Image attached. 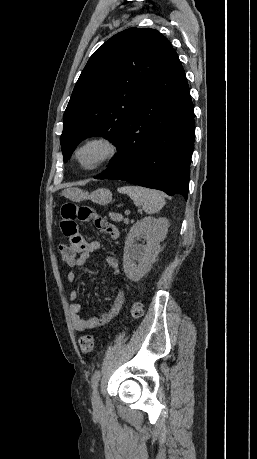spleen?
Returning <instances> with one entry per match:
<instances>
[{"label":"spleen","instance_id":"obj_1","mask_svg":"<svg viewBox=\"0 0 257 459\" xmlns=\"http://www.w3.org/2000/svg\"><path fill=\"white\" fill-rule=\"evenodd\" d=\"M118 191L127 194L134 204L141 206L147 214H154L165 205L163 194L157 190L140 186H123Z\"/></svg>","mask_w":257,"mask_h":459}]
</instances>
